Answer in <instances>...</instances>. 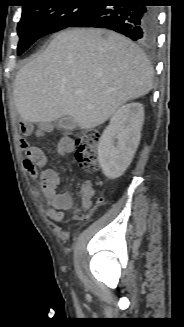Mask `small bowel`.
<instances>
[{"label": "small bowel", "mask_w": 184, "mask_h": 327, "mask_svg": "<svg viewBox=\"0 0 184 327\" xmlns=\"http://www.w3.org/2000/svg\"><path fill=\"white\" fill-rule=\"evenodd\" d=\"M32 127L29 124H21L20 131L23 134L29 133ZM51 129L49 123H43L37 129L38 136H45ZM74 149V142L72 139L65 137L57 145V151L62 156H67ZM26 158L23 161L25 170L30 174L32 178H39L40 188L42 194L47 201V214L54 221H63L65 218V211H69L73 208V199L70 193H58L57 186L60 178L56 171L52 169H44L38 176V169L43 168L46 164V156L44 152L38 147H26L24 149ZM104 199L98 198L96 202H93L88 197L82 198V207L89 210L97 205L102 204Z\"/></svg>", "instance_id": "c3829d8e"}]
</instances>
